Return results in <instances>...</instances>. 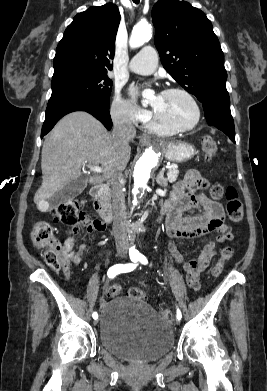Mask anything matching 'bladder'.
<instances>
[{"mask_svg":"<svg viewBox=\"0 0 267 391\" xmlns=\"http://www.w3.org/2000/svg\"><path fill=\"white\" fill-rule=\"evenodd\" d=\"M99 335L112 355L134 363L160 359L173 347L171 326L143 299L118 296L101 310Z\"/></svg>","mask_w":267,"mask_h":391,"instance_id":"31cf9c89","label":"bladder"}]
</instances>
